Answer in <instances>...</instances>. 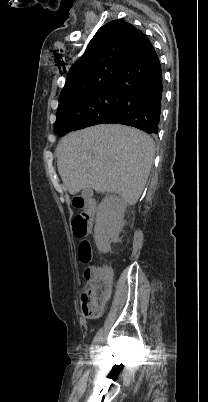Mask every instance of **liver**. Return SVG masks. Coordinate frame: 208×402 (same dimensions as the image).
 <instances>
[{
	"label": "liver",
	"instance_id": "6515ba94",
	"mask_svg": "<svg viewBox=\"0 0 208 402\" xmlns=\"http://www.w3.org/2000/svg\"><path fill=\"white\" fill-rule=\"evenodd\" d=\"M152 138L136 128L101 124L71 132L59 142L57 168L69 194L93 188L111 192L134 206L153 164Z\"/></svg>",
	"mask_w": 208,
	"mask_h": 402
}]
</instances>
